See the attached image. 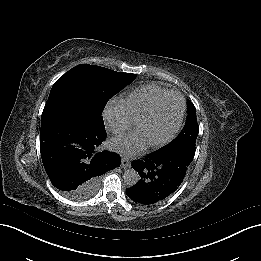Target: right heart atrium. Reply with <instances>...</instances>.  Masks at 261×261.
<instances>
[{
	"mask_svg": "<svg viewBox=\"0 0 261 261\" xmlns=\"http://www.w3.org/2000/svg\"><path fill=\"white\" fill-rule=\"evenodd\" d=\"M102 120L107 128L114 133H121L125 130V120L121 113L119 105L114 102H108L102 110Z\"/></svg>",
	"mask_w": 261,
	"mask_h": 261,
	"instance_id": "obj_1",
	"label": "right heart atrium"
}]
</instances>
